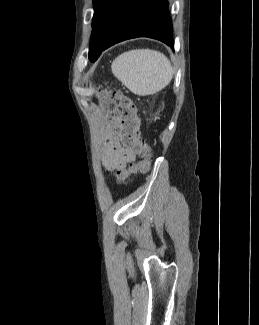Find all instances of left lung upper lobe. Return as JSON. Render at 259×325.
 <instances>
[{
  "instance_id": "obj_1",
  "label": "left lung upper lobe",
  "mask_w": 259,
  "mask_h": 325,
  "mask_svg": "<svg viewBox=\"0 0 259 325\" xmlns=\"http://www.w3.org/2000/svg\"><path fill=\"white\" fill-rule=\"evenodd\" d=\"M124 0H93L94 17L92 38L89 48V59L95 62L101 54L104 32L110 19Z\"/></svg>"
}]
</instances>
